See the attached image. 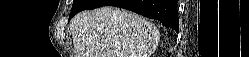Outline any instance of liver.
<instances>
[{"instance_id":"1","label":"liver","mask_w":249,"mask_h":57,"mask_svg":"<svg viewBox=\"0 0 249 57\" xmlns=\"http://www.w3.org/2000/svg\"><path fill=\"white\" fill-rule=\"evenodd\" d=\"M72 27L78 57H150L160 39L153 22L112 6L80 12Z\"/></svg>"}]
</instances>
